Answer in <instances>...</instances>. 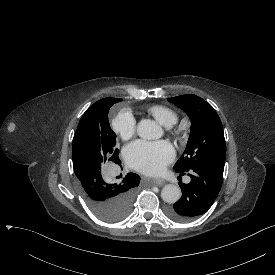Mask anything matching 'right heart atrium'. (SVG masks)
Returning <instances> with one entry per match:
<instances>
[{"instance_id":"1","label":"right heart atrium","mask_w":275,"mask_h":275,"mask_svg":"<svg viewBox=\"0 0 275 275\" xmlns=\"http://www.w3.org/2000/svg\"><path fill=\"white\" fill-rule=\"evenodd\" d=\"M111 127L115 135L123 141L130 140L136 131L135 120L129 113L117 115L113 119Z\"/></svg>"}]
</instances>
